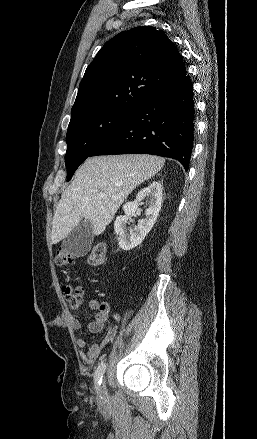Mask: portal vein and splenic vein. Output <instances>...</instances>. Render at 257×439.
<instances>
[{"label":"portal vein and splenic vein","mask_w":257,"mask_h":439,"mask_svg":"<svg viewBox=\"0 0 257 439\" xmlns=\"http://www.w3.org/2000/svg\"><path fill=\"white\" fill-rule=\"evenodd\" d=\"M98 197H99V198H105L106 195H105V194H99Z\"/></svg>","instance_id":"portal-vein-and-splenic-vein-1"}]
</instances>
